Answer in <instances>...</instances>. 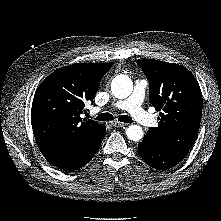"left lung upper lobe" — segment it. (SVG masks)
I'll return each mask as SVG.
<instances>
[{"mask_svg":"<svg viewBox=\"0 0 221 221\" xmlns=\"http://www.w3.org/2000/svg\"><path fill=\"white\" fill-rule=\"evenodd\" d=\"M149 80V100L161 111L158 127L145 139L173 151L187 154L200 127L202 93L193 74L185 67L153 59L137 61Z\"/></svg>","mask_w":221,"mask_h":221,"instance_id":"obj_1","label":"left lung upper lobe"}]
</instances>
